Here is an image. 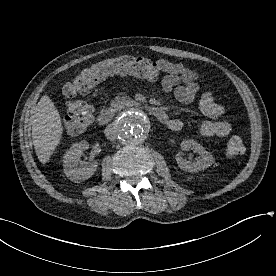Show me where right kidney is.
<instances>
[{
  "mask_svg": "<svg viewBox=\"0 0 276 276\" xmlns=\"http://www.w3.org/2000/svg\"><path fill=\"white\" fill-rule=\"evenodd\" d=\"M88 148L89 144L86 141H82L73 144L72 147L64 154V173L73 182H80L89 179L98 167L99 163L96 160L79 166L81 155L83 151Z\"/></svg>",
  "mask_w": 276,
  "mask_h": 276,
  "instance_id": "1",
  "label": "right kidney"
}]
</instances>
